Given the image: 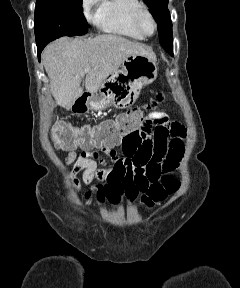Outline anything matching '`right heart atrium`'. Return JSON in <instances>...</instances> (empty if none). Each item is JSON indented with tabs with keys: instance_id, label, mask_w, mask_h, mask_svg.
Segmentation results:
<instances>
[{
	"instance_id": "obj_1",
	"label": "right heart atrium",
	"mask_w": 240,
	"mask_h": 288,
	"mask_svg": "<svg viewBox=\"0 0 240 288\" xmlns=\"http://www.w3.org/2000/svg\"><path fill=\"white\" fill-rule=\"evenodd\" d=\"M102 0H82V11L87 20L96 22L99 13V7Z\"/></svg>"
}]
</instances>
